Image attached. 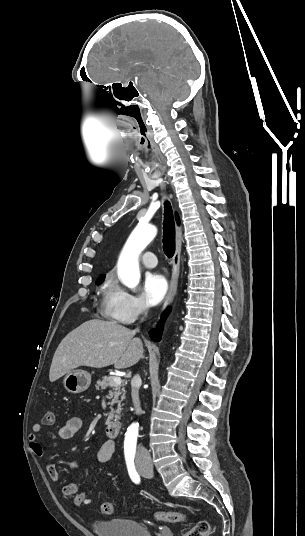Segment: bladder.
<instances>
[{
  "instance_id": "bladder-1",
  "label": "bladder",
  "mask_w": 305,
  "mask_h": 536,
  "mask_svg": "<svg viewBox=\"0 0 305 536\" xmlns=\"http://www.w3.org/2000/svg\"><path fill=\"white\" fill-rule=\"evenodd\" d=\"M92 530L96 536H152L139 521L123 517L94 520Z\"/></svg>"
}]
</instances>
